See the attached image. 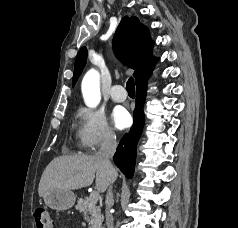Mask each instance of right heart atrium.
Wrapping results in <instances>:
<instances>
[{
	"label": "right heart atrium",
	"mask_w": 238,
	"mask_h": 228,
	"mask_svg": "<svg viewBox=\"0 0 238 228\" xmlns=\"http://www.w3.org/2000/svg\"><path fill=\"white\" fill-rule=\"evenodd\" d=\"M78 117L77 136L85 151L95 152L116 143V134L101 110L83 107L79 110Z\"/></svg>",
	"instance_id": "d8ad5b80"
}]
</instances>
